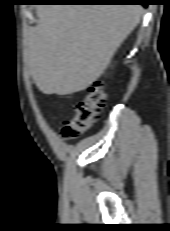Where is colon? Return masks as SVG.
<instances>
[{
  "instance_id": "1",
  "label": "colon",
  "mask_w": 170,
  "mask_h": 231,
  "mask_svg": "<svg viewBox=\"0 0 170 231\" xmlns=\"http://www.w3.org/2000/svg\"><path fill=\"white\" fill-rule=\"evenodd\" d=\"M106 99L104 84L101 81L92 83L84 98L76 105L74 113L64 121L62 135L71 139L87 132L98 120Z\"/></svg>"
}]
</instances>
